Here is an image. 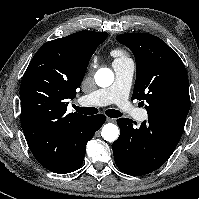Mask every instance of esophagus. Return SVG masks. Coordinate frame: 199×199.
<instances>
[{"mask_svg":"<svg viewBox=\"0 0 199 199\" xmlns=\"http://www.w3.org/2000/svg\"><path fill=\"white\" fill-rule=\"evenodd\" d=\"M106 121H107V122H115L116 120H115L114 118L107 117V118H106Z\"/></svg>","mask_w":199,"mask_h":199,"instance_id":"obj_1","label":"esophagus"}]
</instances>
